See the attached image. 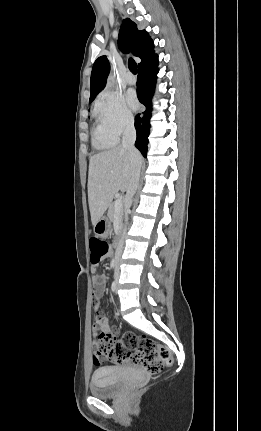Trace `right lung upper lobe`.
<instances>
[{
	"instance_id": "cb5924a9",
	"label": "right lung upper lobe",
	"mask_w": 261,
	"mask_h": 431,
	"mask_svg": "<svg viewBox=\"0 0 261 431\" xmlns=\"http://www.w3.org/2000/svg\"><path fill=\"white\" fill-rule=\"evenodd\" d=\"M118 46L124 53L132 52L134 56L141 59L138 67L154 55L153 42L145 30H138L137 25L129 18L123 20L119 36ZM110 65L107 57H99L92 68L90 79V100L105 87Z\"/></svg>"
}]
</instances>
